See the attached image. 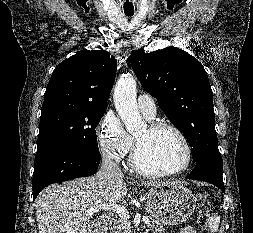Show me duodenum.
<instances>
[{
    "instance_id": "410a0bca",
    "label": "duodenum",
    "mask_w": 253,
    "mask_h": 233,
    "mask_svg": "<svg viewBox=\"0 0 253 233\" xmlns=\"http://www.w3.org/2000/svg\"><path fill=\"white\" fill-rule=\"evenodd\" d=\"M112 218L109 215L102 216L100 224L94 227L93 233H106Z\"/></svg>"
}]
</instances>
